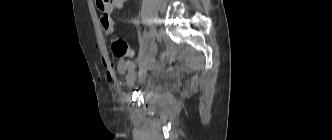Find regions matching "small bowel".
I'll return each mask as SVG.
<instances>
[{
    "instance_id": "obj_1",
    "label": "small bowel",
    "mask_w": 332,
    "mask_h": 140,
    "mask_svg": "<svg viewBox=\"0 0 332 140\" xmlns=\"http://www.w3.org/2000/svg\"><path fill=\"white\" fill-rule=\"evenodd\" d=\"M112 9L107 8L105 11L110 12ZM155 48H151L145 59L138 62V70L136 71V64L133 61L121 58L117 63V70L119 74L125 76V85L127 87H134L136 84H141L146 80L147 72L153 67V56ZM108 77L117 85L121 83L116 79L114 73L107 70Z\"/></svg>"
}]
</instances>
